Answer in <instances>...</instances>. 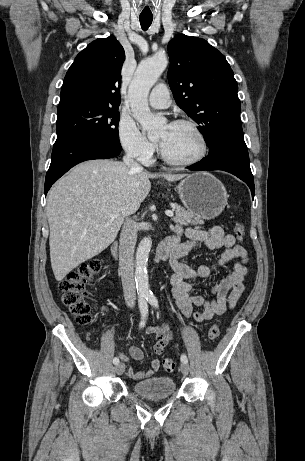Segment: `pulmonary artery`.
<instances>
[{
  "instance_id": "e3ab8cb5",
  "label": "pulmonary artery",
  "mask_w": 305,
  "mask_h": 461,
  "mask_svg": "<svg viewBox=\"0 0 305 461\" xmlns=\"http://www.w3.org/2000/svg\"><path fill=\"white\" fill-rule=\"evenodd\" d=\"M171 103L170 94L164 83L156 85L149 96V104L157 109L169 107Z\"/></svg>"
}]
</instances>
